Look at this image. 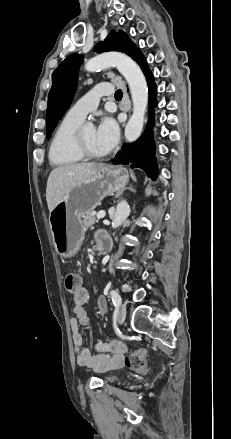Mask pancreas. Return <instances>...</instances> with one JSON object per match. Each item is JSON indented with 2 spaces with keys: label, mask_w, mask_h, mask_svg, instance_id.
<instances>
[{
  "label": "pancreas",
  "mask_w": 231,
  "mask_h": 439,
  "mask_svg": "<svg viewBox=\"0 0 231 439\" xmlns=\"http://www.w3.org/2000/svg\"><path fill=\"white\" fill-rule=\"evenodd\" d=\"M95 215L96 213L91 211L83 216L84 228L92 227L95 223L98 222V220L95 218Z\"/></svg>",
  "instance_id": "cf45deb5"
}]
</instances>
